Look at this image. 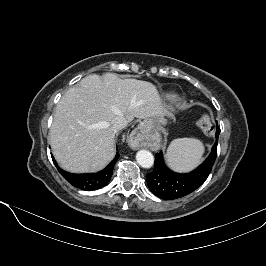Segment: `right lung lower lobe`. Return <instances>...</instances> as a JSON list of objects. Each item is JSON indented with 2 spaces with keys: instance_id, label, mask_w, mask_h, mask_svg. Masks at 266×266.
<instances>
[{
  "instance_id": "98d812e1",
  "label": "right lung lower lobe",
  "mask_w": 266,
  "mask_h": 266,
  "mask_svg": "<svg viewBox=\"0 0 266 266\" xmlns=\"http://www.w3.org/2000/svg\"><path fill=\"white\" fill-rule=\"evenodd\" d=\"M119 156L120 155L117 153L115 158L103 170L94 174H82V175L71 174L64 171L58 166L57 162L53 157L52 159L58 171L71 185L82 190L91 191V190L100 189L109 183L113 173L115 162L117 161Z\"/></svg>"
}]
</instances>
